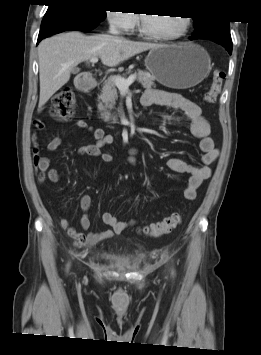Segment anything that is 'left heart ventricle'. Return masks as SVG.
<instances>
[{
	"instance_id": "left-heart-ventricle-1",
	"label": "left heart ventricle",
	"mask_w": 261,
	"mask_h": 355,
	"mask_svg": "<svg viewBox=\"0 0 261 355\" xmlns=\"http://www.w3.org/2000/svg\"><path fill=\"white\" fill-rule=\"evenodd\" d=\"M144 21L147 29L158 34L172 35L182 29V19L178 16H163L147 13L144 15Z\"/></svg>"
}]
</instances>
